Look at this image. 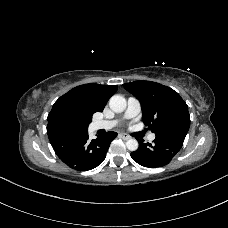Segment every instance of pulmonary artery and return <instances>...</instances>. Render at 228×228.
I'll list each match as a JSON object with an SVG mask.
<instances>
[{
  "label": "pulmonary artery",
  "mask_w": 228,
  "mask_h": 228,
  "mask_svg": "<svg viewBox=\"0 0 228 228\" xmlns=\"http://www.w3.org/2000/svg\"><path fill=\"white\" fill-rule=\"evenodd\" d=\"M141 111V104L139 100L133 96L129 97L127 100V108L123 115L124 118L130 119L136 117ZM119 120H99L93 123V128L95 130L98 129H111L118 125ZM149 141H153L155 139V134H150L148 137Z\"/></svg>",
  "instance_id": "pulmonary-artery-1"
}]
</instances>
